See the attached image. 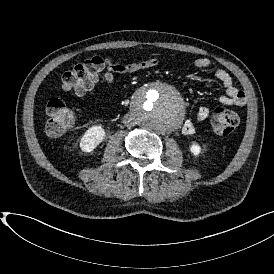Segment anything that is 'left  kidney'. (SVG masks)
I'll return each instance as SVG.
<instances>
[{
	"label": "left kidney",
	"instance_id": "5707ae66",
	"mask_svg": "<svg viewBox=\"0 0 274 274\" xmlns=\"http://www.w3.org/2000/svg\"><path fill=\"white\" fill-rule=\"evenodd\" d=\"M202 151H203L202 147H201V145L199 143L192 142L189 145V152L194 157H199L202 154Z\"/></svg>",
	"mask_w": 274,
	"mask_h": 274
}]
</instances>
